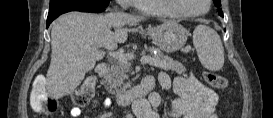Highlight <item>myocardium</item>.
Here are the masks:
<instances>
[{"instance_id":"myocardium-1","label":"myocardium","mask_w":273,"mask_h":118,"mask_svg":"<svg viewBox=\"0 0 273 118\" xmlns=\"http://www.w3.org/2000/svg\"><path fill=\"white\" fill-rule=\"evenodd\" d=\"M162 1L168 8L173 10L177 15L186 17V18H193V17L204 15L210 10V7H211V0H205L206 8L203 11L188 12L182 9L180 3L178 2L179 0H162Z\"/></svg>"}]
</instances>
